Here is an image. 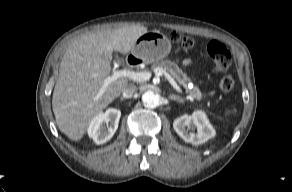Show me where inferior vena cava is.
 Returning <instances> with one entry per match:
<instances>
[{"label": "inferior vena cava", "mask_w": 292, "mask_h": 192, "mask_svg": "<svg viewBox=\"0 0 292 192\" xmlns=\"http://www.w3.org/2000/svg\"><path fill=\"white\" fill-rule=\"evenodd\" d=\"M137 87L134 84H128L122 91L123 98H131L137 92Z\"/></svg>", "instance_id": "602c4592"}]
</instances>
